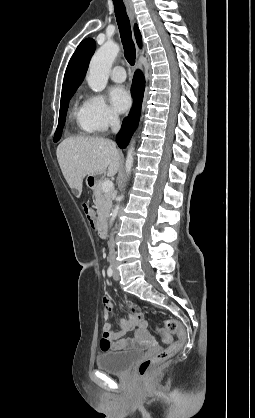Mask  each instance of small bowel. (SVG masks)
Masks as SVG:
<instances>
[{"label": "small bowel", "instance_id": "obj_1", "mask_svg": "<svg viewBox=\"0 0 255 418\" xmlns=\"http://www.w3.org/2000/svg\"><path fill=\"white\" fill-rule=\"evenodd\" d=\"M130 312L125 319H119L117 329H112L111 324L105 322L102 327L100 339V349L102 351L123 350L134 344L133 338H124L123 336L132 330L136 331L138 337H147V321L144 319L140 310L132 303L127 302ZM111 310V305L105 302L103 305V314L107 316Z\"/></svg>", "mask_w": 255, "mask_h": 418}]
</instances>
